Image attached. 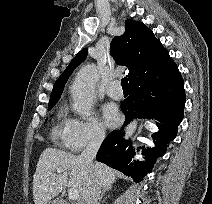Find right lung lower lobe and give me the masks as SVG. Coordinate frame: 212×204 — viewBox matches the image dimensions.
I'll list each match as a JSON object with an SVG mask.
<instances>
[{"mask_svg": "<svg viewBox=\"0 0 212 204\" xmlns=\"http://www.w3.org/2000/svg\"><path fill=\"white\" fill-rule=\"evenodd\" d=\"M129 87V97L121 104L126 117L124 126L133 118H155L160 122L157 123L159 131L152 135L156 147L144 150L146 162L135 161V150L123 139V126L105 138L96 159L140 182L176 137L186 99L184 82L176 65L149 74Z\"/></svg>", "mask_w": 212, "mask_h": 204, "instance_id": "98d812e1", "label": "right lung lower lobe"}]
</instances>
